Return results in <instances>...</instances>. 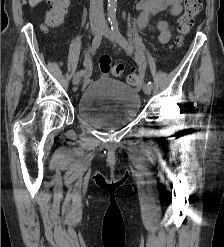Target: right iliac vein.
<instances>
[{"instance_id": "63e3f726", "label": "right iliac vein", "mask_w": 224, "mask_h": 247, "mask_svg": "<svg viewBox=\"0 0 224 247\" xmlns=\"http://www.w3.org/2000/svg\"><path fill=\"white\" fill-rule=\"evenodd\" d=\"M102 29V26L100 24H92L91 31L93 35H97ZM81 74L80 71L76 72V74L73 77V85H77L81 80Z\"/></svg>"}]
</instances>
